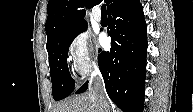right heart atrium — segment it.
<instances>
[{
  "label": "right heart atrium",
  "instance_id": "d8ad5b80",
  "mask_svg": "<svg viewBox=\"0 0 193 112\" xmlns=\"http://www.w3.org/2000/svg\"><path fill=\"white\" fill-rule=\"evenodd\" d=\"M68 60L73 73L78 77H85L97 68L92 41L85 31H79L70 38Z\"/></svg>",
  "mask_w": 193,
  "mask_h": 112
}]
</instances>
